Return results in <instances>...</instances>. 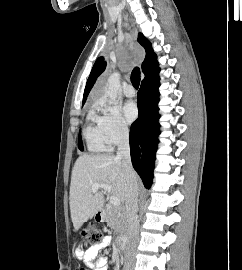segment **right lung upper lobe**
Instances as JSON below:
<instances>
[{"instance_id": "1", "label": "right lung upper lobe", "mask_w": 242, "mask_h": 270, "mask_svg": "<svg viewBox=\"0 0 242 270\" xmlns=\"http://www.w3.org/2000/svg\"><path fill=\"white\" fill-rule=\"evenodd\" d=\"M138 42L145 48V51H146V56L142 63V71L145 74V76H147L149 73H151L152 71L158 68L157 57L151 47V43L146 37H144L142 33L138 34ZM105 67H106V63L103 57L98 58L92 68V71L86 83V87H85V91L83 95V104L92 86L94 85L95 80L104 71Z\"/></svg>"}]
</instances>
